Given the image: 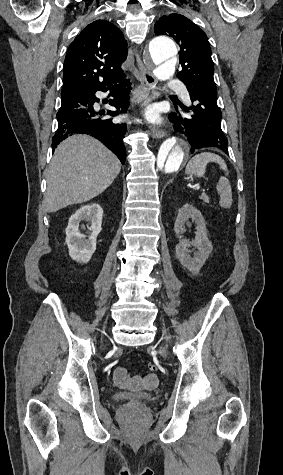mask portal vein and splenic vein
<instances>
[{"label":"portal vein and splenic vein","instance_id":"18ae733b","mask_svg":"<svg viewBox=\"0 0 283 475\" xmlns=\"http://www.w3.org/2000/svg\"><path fill=\"white\" fill-rule=\"evenodd\" d=\"M212 193L214 194L215 192L213 191ZM199 194H200L201 196H205V195L208 194V191L205 190V189H201V190L199 191Z\"/></svg>","mask_w":283,"mask_h":475}]
</instances>
